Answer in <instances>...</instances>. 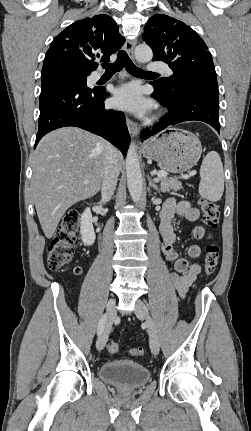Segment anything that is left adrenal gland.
<instances>
[{
  "label": "left adrenal gland",
  "instance_id": "obj_1",
  "mask_svg": "<svg viewBox=\"0 0 251 431\" xmlns=\"http://www.w3.org/2000/svg\"><path fill=\"white\" fill-rule=\"evenodd\" d=\"M149 187H153L157 192H159V188L155 182L152 181L151 177L148 175Z\"/></svg>",
  "mask_w": 251,
  "mask_h": 431
}]
</instances>
